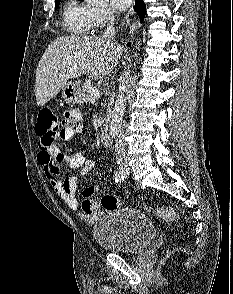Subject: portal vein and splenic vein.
<instances>
[{
  "label": "portal vein and splenic vein",
  "instance_id": "portal-vein-and-splenic-vein-1",
  "mask_svg": "<svg viewBox=\"0 0 233 294\" xmlns=\"http://www.w3.org/2000/svg\"><path fill=\"white\" fill-rule=\"evenodd\" d=\"M90 94H91V96H92L93 98H98V97H100V91H99L98 89H96V88H92V89L90 90Z\"/></svg>",
  "mask_w": 233,
  "mask_h": 294
}]
</instances>
